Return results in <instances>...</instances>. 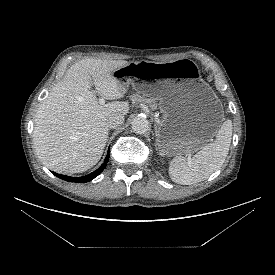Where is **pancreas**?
Returning <instances> with one entry per match:
<instances>
[{"label":"pancreas","instance_id":"1","mask_svg":"<svg viewBox=\"0 0 275 275\" xmlns=\"http://www.w3.org/2000/svg\"><path fill=\"white\" fill-rule=\"evenodd\" d=\"M131 100L133 101V103H138V102L147 103L151 107V109L157 108V103L155 99H152V98H145L139 94H134L133 96H131Z\"/></svg>","mask_w":275,"mask_h":275}]
</instances>
